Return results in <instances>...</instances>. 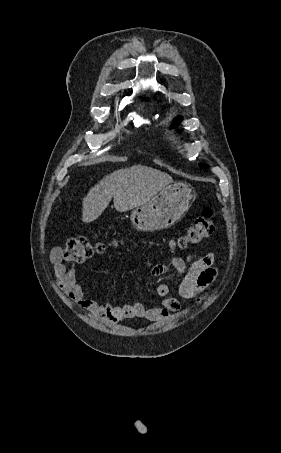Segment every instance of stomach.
Listing matches in <instances>:
<instances>
[{"instance_id": "1", "label": "stomach", "mask_w": 281, "mask_h": 453, "mask_svg": "<svg viewBox=\"0 0 281 453\" xmlns=\"http://www.w3.org/2000/svg\"><path fill=\"white\" fill-rule=\"evenodd\" d=\"M194 196L191 184L174 182L167 184L151 200L136 206L130 214V220L137 231L153 233L169 229L188 210Z\"/></svg>"}]
</instances>
